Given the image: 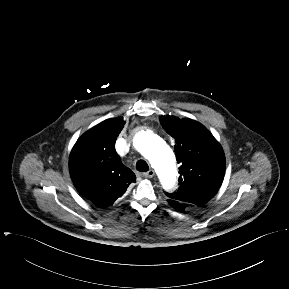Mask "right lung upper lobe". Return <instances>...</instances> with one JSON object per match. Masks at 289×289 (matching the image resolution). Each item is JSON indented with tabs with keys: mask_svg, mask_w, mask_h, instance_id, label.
<instances>
[{
	"mask_svg": "<svg viewBox=\"0 0 289 289\" xmlns=\"http://www.w3.org/2000/svg\"><path fill=\"white\" fill-rule=\"evenodd\" d=\"M123 125L120 119L103 121L83 134L70 154L69 168L75 187L99 207L113 205L136 180L115 150Z\"/></svg>",
	"mask_w": 289,
	"mask_h": 289,
	"instance_id": "right-lung-upper-lobe-1",
	"label": "right lung upper lobe"
}]
</instances>
